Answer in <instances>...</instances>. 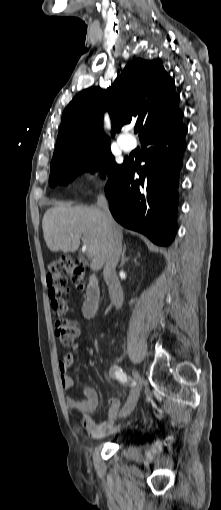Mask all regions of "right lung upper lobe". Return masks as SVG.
<instances>
[{
	"instance_id": "right-lung-upper-lobe-1",
	"label": "right lung upper lobe",
	"mask_w": 221,
	"mask_h": 510,
	"mask_svg": "<svg viewBox=\"0 0 221 510\" xmlns=\"http://www.w3.org/2000/svg\"><path fill=\"white\" fill-rule=\"evenodd\" d=\"M174 87L161 63L141 58L129 62L107 90L85 89L65 108L52 161L77 148L109 144L102 128L105 110L117 132L130 122L139 125L140 139L173 126L183 117Z\"/></svg>"
}]
</instances>
